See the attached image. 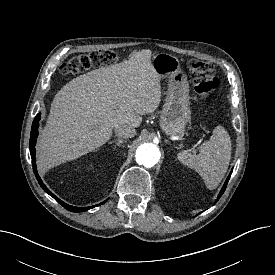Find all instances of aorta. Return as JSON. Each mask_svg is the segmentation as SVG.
<instances>
[{"label":"aorta","mask_w":275,"mask_h":275,"mask_svg":"<svg viewBox=\"0 0 275 275\" xmlns=\"http://www.w3.org/2000/svg\"><path fill=\"white\" fill-rule=\"evenodd\" d=\"M135 159L139 165L152 167L160 159L159 148L152 143L141 144L136 150Z\"/></svg>","instance_id":"1"}]
</instances>
